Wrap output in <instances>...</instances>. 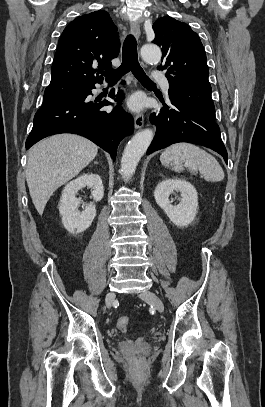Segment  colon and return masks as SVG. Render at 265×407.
<instances>
[{"label": "colon", "instance_id": "5ec220e1", "mask_svg": "<svg viewBox=\"0 0 265 407\" xmlns=\"http://www.w3.org/2000/svg\"><path fill=\"white\" fill-rule=\"evenodd\" d=\"M129 324H130V319L128 316H121L117 320V327L121 331H126L129 327ZM134 360H135V362H138L139 357H136Z\"/></svg>", "mask_w": 265, "mask_h": 407}]
</instances>
